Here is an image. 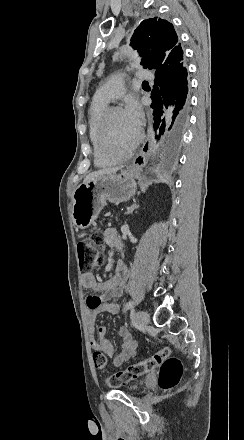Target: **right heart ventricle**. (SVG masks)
I'll return each instance as SVG.
<instances>
[{"label": "right heart ventricle", "mask_w": 244, "mask_h": 440, "mask_svg": "<svg viewBox=\"0 0 244 440\" xmlns=\"http://www.w3.org/2000/svg\"><path fill=\"white\" fill-rule=\"evenodd\" d=\"M107 108H108V103L94 102L93 100L89 110L90 139L95 149V163L100 168H111L115 166L120 160V156L117 152L115 154H104L99 149L101 147L99 145L101 141L98 139L99 138L98 133L103 132L102 130L99 129V126L101 125V122H103V116ZM130 135H133V131L131 129H130ZM107 146H109L108 143ZM111 147L112 149H115L117 151L116 146H111Z\"/></svg>", "instance_id": "1"}]
</instances>
